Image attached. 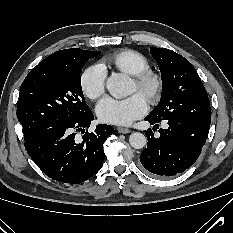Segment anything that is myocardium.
<instances>
[{
  "mask_svg": "<svg viewBox=\"0 0 233 233\" xmlns=\"http://www.w3.org/2000/svg\"><path fill=\"white\" fill-rule=\"evenodd\" d=\"M133 82L139 90H146V100L156 103L163 92L164 80L160 73L146 69L133 76Z\"/></svg>",
  "mask_w": 233,
  "mask_h": 233,
  "instance_id": "obj_1",
  "label": "myocardium"
}]
</instances>
